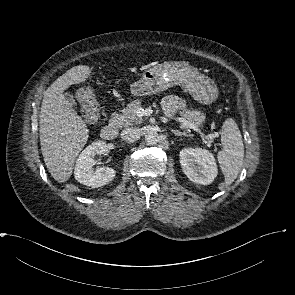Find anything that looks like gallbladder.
<instances>
[{"label":"gallbladder","instance_id":"obj_1","mask_svg":"<svg viewBox=\"0 0 295 295\" xmlns=\"http://www.w3.org/2000/svg\"><path fill=\"white\" fill-rule=\"evenodd\" d=\"M64 95H65V100L68 102L70 106H74L76 104L73 95H71L70 93H65Z\"/></svg>","mask_w":295,"mask_h":295}]
</instances>
